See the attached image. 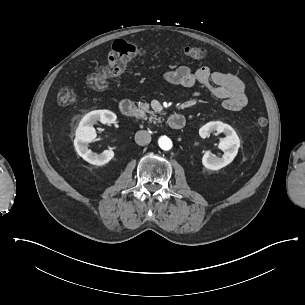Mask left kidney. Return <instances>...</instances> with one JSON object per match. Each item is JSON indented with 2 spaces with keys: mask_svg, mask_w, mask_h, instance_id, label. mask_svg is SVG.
Masks as SVG:
<instances>
[{
  "mask_svg": "<svg viewBox=\"0 0 305 305\" xmlns=\"http://www.w3.org/2000/svg\"><path fill=\"white\" fill-rule=\"evenodd\" d=\"M214 131L224 133L225 137L219 140V148L226 150L223 157H213L210 152L202 158L203 166L212 171L220 170L229 165L237 156L240 147V139L235 130L228 124L216 121L209 122L200 129L202 138L209 137Z\"/></svg>",
  "mask_w": 305,
  "mask_h": 305,
  "instance_id": "5707ae66",
  "label": "left kidney"
}]
</instances>
